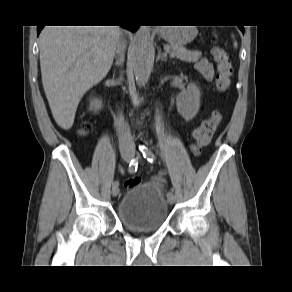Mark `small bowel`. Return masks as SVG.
I'll use <instances>...</instances> for the list:
<instances>
[{"label": "small bowel", "mask_w": 292, "mask_h": 292, "mask_svg": "<svg viewBox=\"0 0 292 292\" xmlns=\"http://www.w3.org/2000/svg\"><path fill=\"white\" fill-rule=\"evenodd\" d=\"M195 70L203 79H205L207 81H210L213 79L214 66H213V63L210 62L209 60H207L205 58L200 59L195 64ZM155 179L159 183L163 182V179L161 177H156Z\"/></svg>", "instance_id": "obj_1"}]
</instances>
